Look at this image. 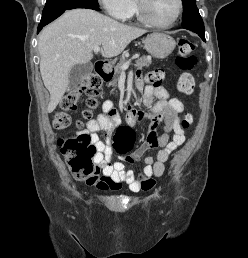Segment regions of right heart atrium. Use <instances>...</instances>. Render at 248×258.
<instances>
[{"label": "right heart atrium", "mask_w": 248, "mask_h": 258, "mask_svg": "<svg viewBox=\"0 0 248 258\" xmlns=\"http://www.w3.org/2000/svg\"><path fill=\"white\" fill-rule=\"evenodd\" d=\"M106 13L115 19H126L132 9V0H98Z\"/></svg>", "instance_id": "right-heart-atrium-1"}]
</instances>
